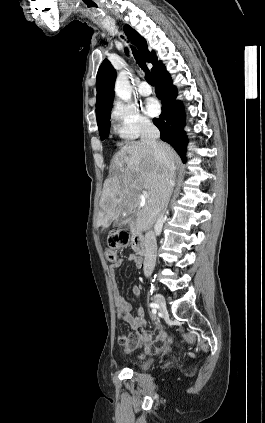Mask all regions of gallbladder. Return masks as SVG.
Masks as SVG:
<instances>
[{"label": "gallbladder", "mask_w": 265, "mask_h": 423, "mask_svg": "<svg viewBox=\"0 0 265 423\" xmlns=\"http://www.w3.org/2000/svg\"><path fill=\"white\" fill-rule=\"evenodd\" d=\"M133 217H135V214L133 215ZM127 223V221L126 220H123V218H121L120 220H117L116 221V224L117 225H125Z\"/></svg>", "instance_id": "1"}]
</instances>
